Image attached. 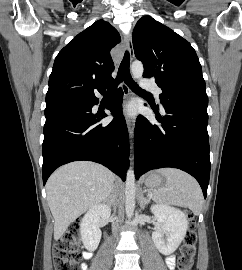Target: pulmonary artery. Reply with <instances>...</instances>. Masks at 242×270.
<instances>
[{
    "label": "pulmonary artery",
    "instance_id": "e3ab8cb5",
    "mask_svg": "<svg viewBox=\"0 0 242 270\" xmlns=\"http://www.w3.org/2000/svg\"><path fill=\"white\" fill-rule=\"evenodd\" d=\"M142 86L153 92L157 97L161 94V89L151 80H144Z\"/></svg>",
    "mask_w": 242,
    "mask_h": 270
}]
</instances>
